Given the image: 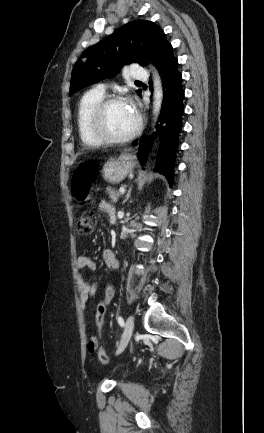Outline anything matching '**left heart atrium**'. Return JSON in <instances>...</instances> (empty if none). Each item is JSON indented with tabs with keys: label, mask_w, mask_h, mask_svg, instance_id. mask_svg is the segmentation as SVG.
<instances>
[{
	"label": "left heart atrium",
	"mask_w": 264,
	"mask_h": 433,
	"mask_svg": "<svg viewBox=\"0 0 264 433\" xmlns=\"http://www.w3.org/2000/svg\"><path fill=\"white\" fill-rule=\"evenodd\" d=\"M130 106L133 109V111L136 113V109H135L134 105L131 104Z\"/></svg>",
	"instance_id": "1"
}]
</instances>
